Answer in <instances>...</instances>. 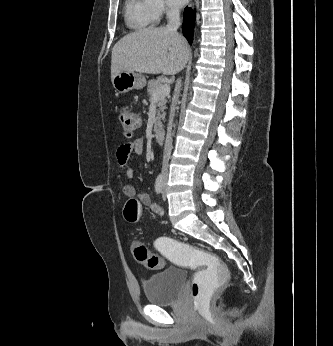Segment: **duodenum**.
<instances>
[{"label":"duodenum","mask_w":333,"mask_h":346,"mask_svg":"<svg viewBox=\"0 0 333 346\" xmlns=\"http://www.w3.org/2000/svg\"><path fill=\"white\" fill-rule=\"evenodd\" d=\"M155 139L158 143H163L165 138V131L163 128L158 127L154 131Z\"/></svg>","instance_id":"obj_1"}]
</instances>
